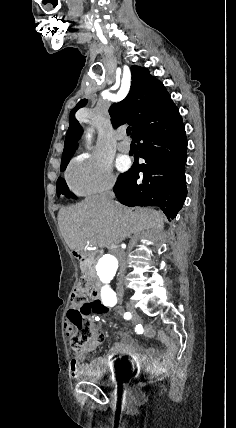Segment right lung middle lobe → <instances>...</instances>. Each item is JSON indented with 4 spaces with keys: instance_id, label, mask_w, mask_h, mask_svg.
<instances>
[{
    "instance_id": "obj_1",
    "label": "right lung middle lobe",
    "mask_w": 236,
    "mask_h": 428,
    "mask_svg": "<svg viewBox=\"0 0 236 428\" xmlns=\"http://www.w3.org/2000/svg\"><path fill=\"white\" fill-rule=\"evenodd\" d=\"M65 169H61V171H64ZM56 187H57V195L59 196L60 194H64L67 198H76V196L75 195H73L70 191H69V189H68V187H67V185H66V182H65V180L63 179V178H59L58 180H57V185H56Z\"/></svg>"
}]
</instances>
